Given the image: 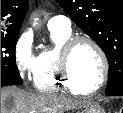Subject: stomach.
I'll return each instance as SVG.
<instances>
[{
    "label": "stomach",
    "instance_id": "stomach-1",
    "mask_svg": "<svg viewBox=\"0 0 123 113\" xmlns=\"http://www.w3.org/2000/svg\"><path fill=\"white\" fill-rule=\"evenodd\" d=\"M82 113H105V111L98 104L92 103Z\"/></svg>",
    "mask_w": 123,
    "mask_h": 113
}]
</instances>
